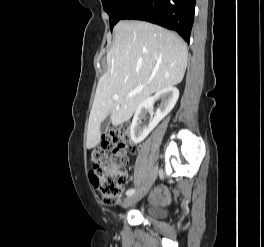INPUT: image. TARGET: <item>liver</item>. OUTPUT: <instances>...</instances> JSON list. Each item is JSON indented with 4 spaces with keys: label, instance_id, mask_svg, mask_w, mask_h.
<instances>
[{
    "label": "liver",
    "instance_id": "1",
    "mask_svg": "<svg viewBox=\"0 0 264 247\" xmlns=\"http://www.w3.org/2000/svg\"><path fill=\"white\" fill-rule=\"evenodd\" d=\"M114 44L107 53V71L101 77L91 109L86 147L101 140L100 125L108 115L113 126L128 121L151 94L179 84L187 66V47L175 33L134 20L114 27ZM139 91L135 96L129 93ZM118 94L119 99L113 100Z\"/></svg>",
    "mask_w": 264,
    "mask_h": 247
}]
</instances>
